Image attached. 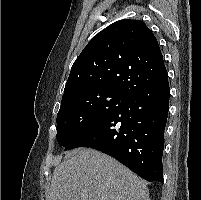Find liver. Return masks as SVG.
Instances as JSON below:
<instances>
[{"label": "liver", "instance_id": "6515ba94", "mask_svg": "<svg viewBox=\"0 0 201 200\" xmlns=\"http://www.w3.org/2000/svg\"><path fill=\"white\" fill-rule=\"evenodd\" d=\"M48 200H149V191L112 157L79 148L54 169Z\"/></svg>", "mask_w": 201, "mask_h": 200}]
</instances>
